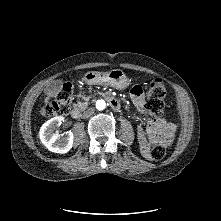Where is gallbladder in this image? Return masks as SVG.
I'll return each instance as SVG.
<instances>
[{
  "label": "gallbladder",
  "mask_w": 221,
  "mask_h": 221,
  "mask_svg": "<svg viewBox=\"0 0 221 221\" xmlns=\"http://www.w3.org/2000/svg\"><path fill=\"white\" fill-rule=\"evenodd\" d=\"M62 86H63L62 81H55V82H53V84L51 85L50 88L55 90V91H59V90H61Z\"/></svg>",
  "instance_id": "gallbladder-1"
}]
</instances>
